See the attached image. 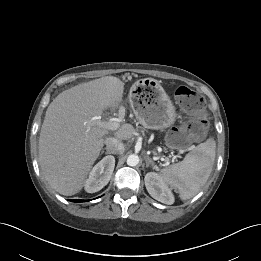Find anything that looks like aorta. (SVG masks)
Masks as SVG:
<instances>
[{
  "label": "aorta",
  "instance_id": "1",
  "mask_svg": "<svg viewBox=\"0 0 261 261\" xmlns=\"http://www.w3.org/2000/svg\"><path fill=\"white\" fill-rule=\"evenodd\" d=\"M139 163V157L135 154L129 155L127 158V164L129 166H136Z\"/></svg>",
  "mask_w": 261,
  "mask_h": 261
}]
</instances>
